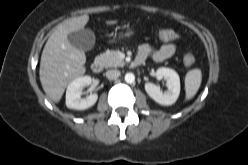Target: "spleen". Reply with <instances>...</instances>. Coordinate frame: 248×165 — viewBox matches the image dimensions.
<instances>
[{
    "label": "spleen",
    "instance_id": "obj_1",
    "mask_svg": "<svg viewBox=\"0 0 248 165\" xmlns=\"http://www.w3.org/2000/svg\"><path fill=\"white\" fill-rule=\"evenodd\" d=\"M202 80L201 70L192 69L185 76L186 100L192 99L200 88Z\"/></svg>",
    "mask_w": 248,
    "mask_h": 165
}]
</instances>
